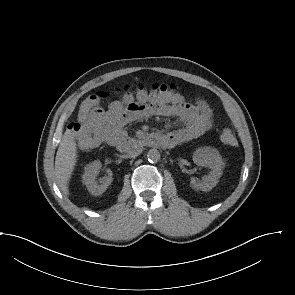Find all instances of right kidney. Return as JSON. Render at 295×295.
<instances>
[{
	"label": "right kidney",
	"mask_w": 295,
	"mask_h": 295,
	"mask_svg": "<svg viewBox=\"0 0 295 295\" xmlns=\"http://www.w3.org/2000/svg\"><path fill=\"white\" fill-rule=\"evenodd\" d=\"M101 168V162L95 160L85 167V172L82 177L83 183L86 185L88 191L95 196L103 194L113 180L112 171L110 169H106L107 175L100 179V181L98 182L96 179Z\"/></svg>",
	"instance_id": "ca27d5eb"
}]
</instances>
